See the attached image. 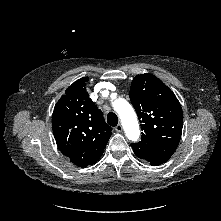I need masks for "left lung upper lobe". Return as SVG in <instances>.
I'll list each match as a JSON object with an SVG mask.
<instances>
[{"mask_svg":"<svg viewBox=\"0 0 221 221\" xmlns=\"http://www.w3.org/2000/svg\"><path fill=\"white\" fill-rule=\"evenodd\" d=\"M130 100L143 131L141 141L131 144L135 155L152 166L166 162L182 134L183 112L178 99L160 79L141 74L132 81Z\"/></svg>","mask_w":221,"mask_h":221,"instance_id":"5c2ea615","label":"left lung upper lobe"}]
</instances>
